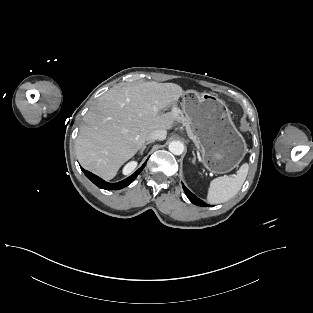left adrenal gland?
Listing matches in <instances>:
<instances>
[{
	"label": "left adrenal gland",
	"instance_id": "1",
	"mask_svg": "<svg viewBox=\"0 0 313 313\" xmlns=\"http://www.w3.org/2000/svg\"><path fill=\"white\" fill-rule=\"evenodd\" d=\"M192 154H193V159H192V163H193V164H195V162H196V156H195V153H194V151H192Z\"/></svg>",
	"mask_w": 313,
	"mask_h": 313
}]
</instances>
